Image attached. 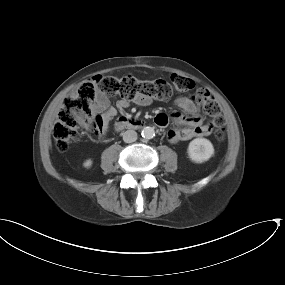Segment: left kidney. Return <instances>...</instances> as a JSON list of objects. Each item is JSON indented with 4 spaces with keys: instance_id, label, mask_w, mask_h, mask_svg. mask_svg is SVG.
I'll return each instance as SVG.
<instances>
[{
    "instance_id": "1",
    "label": "left kidney",
    "mask_w": 285,
    "mask_h": 285,
    "mask_svg": "<svg viewBox=\"0 0 285 285\" xmlns=\"http://www.w3.org/2000/svg\"><path fill=\"white\" fill-rule=\"evenodd\" d=\"M187 152L193 162L202 163L214 155V147L208 139L196 138L189 143Z\"/></svg>"
}]
</instances>
